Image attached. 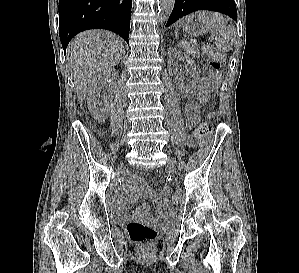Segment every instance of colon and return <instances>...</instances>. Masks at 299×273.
Masks as SVG:
<instances>
[{
	"label": "colon",
	"instance_id": "colon-1",
	"mask_svg": "<svg viewBox=\"0 0 299 273\" xmlns=\"http://www.w3.org/2000/svg\"><path fill=\"white\" fill-rule=\"evenodd\" d=\"M218 68L219 64L216 61L210 60L207 62V73L201 79L198 87L200 105H203L209 98L211 83L217 78ZM211 129V125L206 122L201 123L196 128L195 136L200 140L201 146H207L209 144ZM172 200L175 205L181 204L183 201L182 192L179 190L176 191L173 194ZM126 231L129 238L141 246L151 245L158 236V232L153 226L139 221L129 222L126 226Z\"/></svg>",
	"mask_w": 299,
	"mask_h": 273
}]
</instances>
